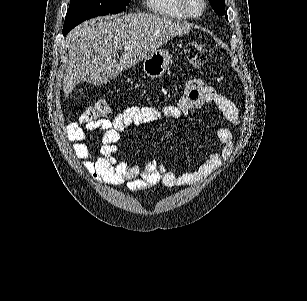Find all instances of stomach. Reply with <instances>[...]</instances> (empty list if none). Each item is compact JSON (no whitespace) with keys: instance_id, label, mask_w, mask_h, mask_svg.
I'll return each instance as SVG.
<instances>
[{"instance_id":"stomach-1","label":"stomach","mask_w":307,"mask_h":301,"mask_svg":"<svg viewBox=\"0 0 307 301\" xmlns=\"http://www.w3.org/2000/svg\"><path fill=\"white\" fill-rule=\"evenodd\" d=\"M171 60L172 54L170 50L159 48V50L151 52V54H148V56L144 58L143 70L147 76L159 78V76L165 74Z\"/></svg>"}]
</instances>
